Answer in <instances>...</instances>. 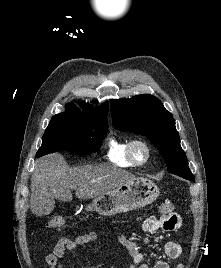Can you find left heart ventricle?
Returning a JSON list of instances; mask_svg holds the SVG:
<instances>
[{"mask_svg":"<svg viewBox=\"0 0 221 268\" xmlns=\"http://www.w3.org/2000/svg\"><path fill=\"white\" fill-rule=\"evenodd\" d=\"M134 153L138 160H142L145 156V152L142 147H136Z\"/></svg>","mask_w":221,"mask_h":268,"instance_id":"b2bd125f","label":"left heart ventricle"}]
</instances>
